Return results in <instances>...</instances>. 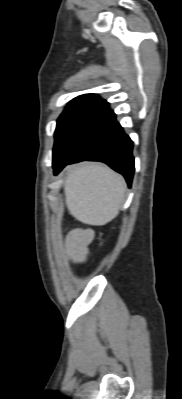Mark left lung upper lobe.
Masks as SVG:
<instances>
[{"label":"left lung upper lobe","mask_w":182,"mask_h":399,"mask_svg":"<svg viewBox=\"0 0 182 399\" xmlns=\"http://www.w3.org/2000/svg\"><path fill=\"white\" fill-rule=\"evenodd\" d=\"M106 104L107 102L100 99L96 94L81 95L68 103V106L57 120L53 160L65 149L82 121Z\"/></svg>","instance_id":"obj_1"}]
</instances>
